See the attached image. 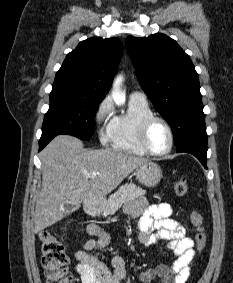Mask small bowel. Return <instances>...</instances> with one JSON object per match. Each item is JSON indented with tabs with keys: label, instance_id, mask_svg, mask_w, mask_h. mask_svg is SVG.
<instances>
[{
	"label": "small bowel",
	"instance_id": "c3829d8e",
	"mask_svg": "<svg viewBox=\"0 0 233 283\" xmlns=\"http://www.w3.org/2000/svg\"><path fill=\"white\" fill-rule=\"evenodd\" d=\"M126 211L138 218V241L142 246L151 247L164 242L175 259L171 266L160 264L142 272L139 280L148 283L159 278L161 283H186L190 276L195 257L194 242L185 236V228L171 217L172 208L168 203L149 205L144 198L130 203ZM92 239L85 242L83 249L75 253L76 272L82 283H123L126 276L124 260L112 256L113 272L97 257L90 254L95 248H105L110 242L109 234L96 224L88 227Z\"/></svg>",
	"mask_w": 233,
	"mask_h": 283
}]
</instances>
